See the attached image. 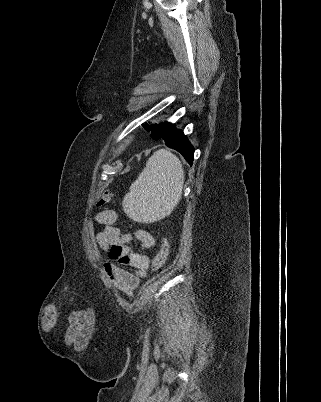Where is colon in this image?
Wrapping results in <instances>:
<instances>
[{
  "label": "colon",
  "instance_id": "1",
  "mask_svg": "<svg viewBox=\"0 0 321 402\" xmlns=\"http://www.w3.org/2000/svg\"><path fill=\"white\" fill-rule=\"evenodd\" d=\"M111 194L109 192L103 193L98 201L99 206H104L110 202ZM170 254V244L167 238H162L160 246L152 259L151 268L154 271L161 269L167 262ZM57 311L55 307H49L45 310L42 316V325L46 329H50L54 326L56 321Z\"/></svg>",
  "mask_w": 321,
  "mask_h": 402
}]
</instances>
